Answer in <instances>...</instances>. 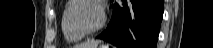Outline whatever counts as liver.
<instances>
[{
  "label": "liver",
  "mask_w": 213,
  "mask_h": 48,
  "mask_svg": "<svg viewBox=\"0 0 213 48\" xmlns=\"http://www.w3.org/2000/svg\"><path fill=\"white\" fill-rule=\"evenodd\" d=\"M98 45V41H87L80 45H77L75 48H95Z\"/></svg>",
  "instance_id": "1"
}]
</instances>
